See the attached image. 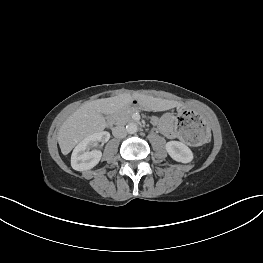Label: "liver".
I'll list each match as a JSON object with an SVG mask.
<instances>
[{
  "label": "liver",
  "instance_id": "liver-1",
  "mask_svg": "<svg viewBox=\"0 0 263 263\" xmlns=\"http://www.w3.org/2000/svg\"><path fill=\"white\" fill-rule=\"evenodd\" d=\"M133 98L155 111H166L181 106L180 102L174 100L154 98L138 93L133 95L124 93L86 102L71 114L59 129L58 143L62 154L67 155L78 142L103 131L107 125L103 114L113 115L128 109Z\"/></svg>",
  "mask_w": 263,
  "mask_h": 263
}]
</instances>
